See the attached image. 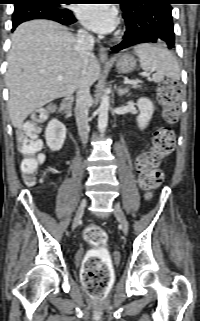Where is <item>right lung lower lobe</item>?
<instances>
[{"instance_id":"right-lung-lower-lobe-1","label":"right lung lower lobe","mask_w":200,"mask_h":321,"mask_svg":"<svg viewBox=\"0 0 200 321\" xmlns=\"http://www.w3.org/2000/svg\"><path fill=\"white\" fill-rule=\"evenodd\" d=\"M32 19H48L63 25H71L77 21L71 10L56 8L45 1L36 0L30 4L15 6L12 31L22 22Z\"/></svg>"}]
</instances>
